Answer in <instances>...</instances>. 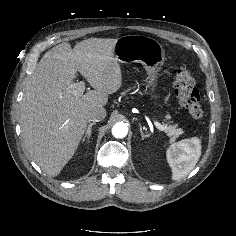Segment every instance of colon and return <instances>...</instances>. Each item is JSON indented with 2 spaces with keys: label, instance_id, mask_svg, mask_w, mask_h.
I'll return each instance as SVG.
<instances>
[{
  "label": "colon",
  "instance_id": "colon-1",
  "mask_svg": "<svg viewBox=\"0 0 236 236\" xmlns=\"http://www.w3.org/2000/svg\"><path fill=\"white\" fill-rule=\"evenodd\" d=\"M174 92L180 105L194 119L203 115L201 97L195 86L194 78L186 67H179L174 77Z\"/></svg>",
  "mask_w": 236,
  "mask_h": 236
}]
</instances>
